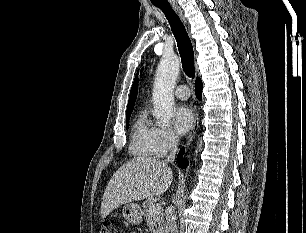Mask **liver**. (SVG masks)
Returning <instances> with one entry per match:
<instances>
[{
    "instance_id": "6515ba94",
    "label": "liver",
    "mask_w": 306,
    "mask_h": 233,
    "mask_svg": "<svg viewBox=\"0 0 306 233\" xmlns=\"http://www.w3.org/2000/svg\"><path fill=\"white\" fill-rule=\"evenodd\" d=\"M172 169L165 161L137 158L121 166L109 181L101 204L104 219L118 206L161 195L170 187Z\"/></svg>"
}]
</instances>
